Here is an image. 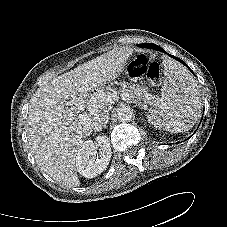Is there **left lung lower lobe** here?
Listing matches in <instances>:
<instances>
[{"label": "left lung lower lobe", "instance_id": "obj_1", "mask_svg": "<svg viewBox=\"0 0 227 227\" xmlns=\"http://www.w3.org/2000/svg\"><path fill=\"white\" fill-rule=\"evenodd\" d=\"M140 47H152L153 49H156V50H159V51H163L164 53H166L161 47L157 46V45H145V44H142L140 45ZM171 57H173L174 59L180 61L181 63H183L184 65H186L182 60H180L179 58H176L175 56H172L170 55ZM187 66V65H186ZM188 67V66H187ZM189 68V67H188ZM190 69V68H189ZM191 70V69H190Z\"/></svg>", "mask_w": 227, "mask_h": 227}]
</instances>
